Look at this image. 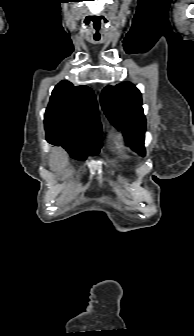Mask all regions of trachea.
<instances>
[{
	"label": "trachea",
	"instance_id": "1",
	"mask_svg": "<svg viewBox=\"0 0 194 336\" xmlns=\"http://www.w3.org/2000/svg\"><path fill=\"white\" fill-rule=\"evenodd\" d=\"M100 27V25H98V27L95 25V28H99Z\"/></svg>",
	"mask_w": 194,
	"mask_h": 336
}]
</instances>
